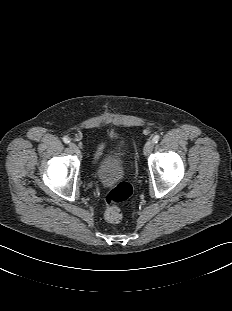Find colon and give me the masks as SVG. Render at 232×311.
<instances>
[{
  "label": "colon",
  "mask_w": 232,
  "mask_h": 311,
  "mask_svg": "<svg viewBox=\"0 0 232 311\" xmlns=\"http://www.w3.org/2000/svg\"><path fill=\"white\" fill-rule=\"evenodd\" d=\"M133 187L128 181L120 182L105 196L104 219L109 223H118L122 218V212L118 204L126 201L132 194Z\"/></svg>",
  "instance_id": "colon-1"
}]
</instances>
